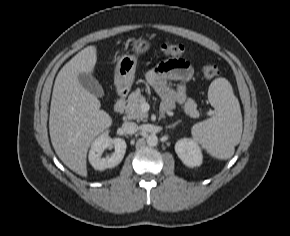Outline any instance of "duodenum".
I'll use <instances>...</instances> for the list:
<instances>
[{"mask_svg": "<svg viewBox=\"0 0 290 236\" xmlns=\"http://www.w3.org/2000/svg\"><path fill=\"white\" fill-rule=\"evenodd\" d=\"M126 96H127V91L122 89L119 91L118 93V97L117 100L113 106V112L115 114H120L123 112L124 108H125V100H126Z\"/></svg>", "mask_w": 290, "mask_h": 236, "instance_id": "duodenum-1", "label": "duodenum"}]
</instances>
